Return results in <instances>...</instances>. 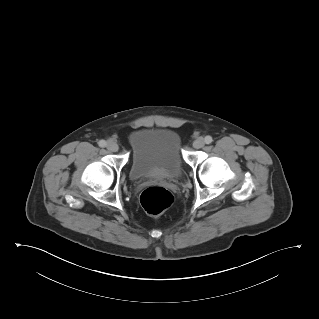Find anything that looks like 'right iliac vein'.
I'll return each mask as SVG.
<instances>
[{
  "mask_svg": "<svg viewBox=\"0 0 319 319\" xmlns=\"http://www.w3.org/2000/svg\"><path fill=\"white\" fill-rule=\"evenodd\" d=\"M107 149L111 152H116L119 149V146L116 142L110 141L107 143Z\"/></svg>",
  "mask_w": 319,
  "mask_h": 319,
  "instance_id": "1",
  "label": "right iliac vein"
}]
</instances>
